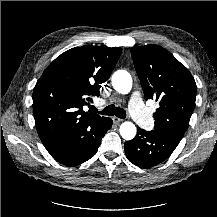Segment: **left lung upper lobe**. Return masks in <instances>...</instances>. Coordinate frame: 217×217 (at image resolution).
Instances as JSON below:
<instances>
[{"label":"left lung upper lobe","instance_id":"obj_1","mask_svg":"<svg viewBox=\"0 0 217 217\" xmlns=\"http://www.w3.org/2000/svg\"><path fill=\"white\" fill-rule=\"evenodd\" d=\"M131 54L144 98L154 99L155 130L181 140L195 107L196 83L191 73L158 45L132 47Z\"/></svg>","mask_w":217,"mask_h":217}]
</instances>
